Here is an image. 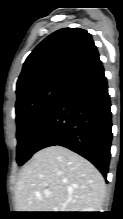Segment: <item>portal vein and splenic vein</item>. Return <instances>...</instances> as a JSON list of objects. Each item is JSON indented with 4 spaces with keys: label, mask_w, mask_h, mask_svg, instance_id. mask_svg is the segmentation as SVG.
<instances>
[{
    "label": "portal vein and splenic vein",
    "mask_w": 123,
    "mask_h": 219,
    "mask_svg": "<svg viewBox=\"0 0 123 219\" xmlns=\"http://www.w3.org/2000/svg\"><path fill=\"white\" fill-rule=\"evenodd\" d=\"M44 194L48 196V195H50L51 193H50V191H45Z\"/></svg>",
    "instance_id": "1"
}]
</instances>
